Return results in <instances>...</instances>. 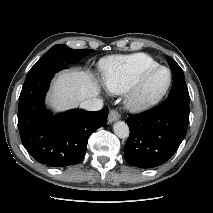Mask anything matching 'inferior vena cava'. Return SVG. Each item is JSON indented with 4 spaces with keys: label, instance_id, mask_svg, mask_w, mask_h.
Wrapping results in <instances>:
<instances>
[{
    "label": "inferior vena cava",
    "instance_id": "1",
    "mask_svg": "<svg viewBox=\"0 0 213 213\" xmlns=\"http://www.w3.org/2000/svg\"><path fill=\"white\" fill-rule=\"evenodd\" d=\"M80 107L88 111H98L103 107V100L99 98H91L81 102Z\"/></svg>",
    "mask_w": 213,
    "mask_h": 213
}]
</instances>
